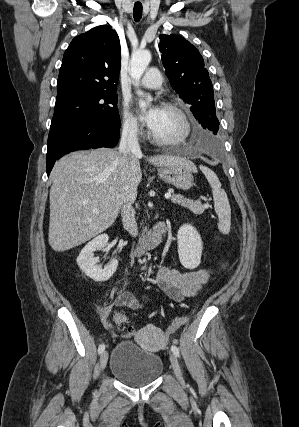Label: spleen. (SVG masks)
Instances as JSON below:
<instances>
[{"label": "spleen", "mask_w": 299, "mask_h": 427, "mask_svg": "<svg viewBox=\"0 0 299 427\" xmlns=\"http://www.w3.org/2000/svg\"><path fill=\"white\" fill-rule=\"evenodd\" d=\"M200 170L205 175L210 187L212 188L214 208L218 215V229L223 234H228L231 226V208L227 194L221 188V183L217 175L208 167L200 166Z\"/></svg>", "instance_id": "obj_1"}]
</instances>
